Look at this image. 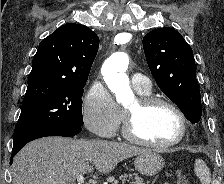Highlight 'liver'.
I'll return each mask as SVG.
<instances>
[{
	"label": "liver",
	"mask_w": 224,
	"mask_h": 184,
	"mask_svg": "<svg viewBox=\"0 0 224 184\" xmlns=\"http://www.w3.org/2000/svg\"><path fill=\"white\" fill-rule=\"evenodd\" d=\"M148 151L115 141L45 137L28 143L15 156L12 183L67 184L92 173L94 167L108 174L119 162Z\"/></svg>",
	"instance_id": "obj_1"
}]
</instances>
